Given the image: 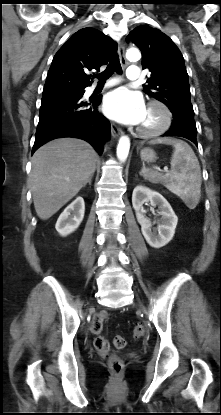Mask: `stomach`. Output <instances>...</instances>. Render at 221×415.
Wrapping results in <instances>:
<instances>
[{
	"label": "stomach",
	"instance_id": "1",
	"mask_svg": "<svg viewBox=\"0 0 221 415\" xmlns=\"http://www.w3.org/2000/svg\"><path fill=\"white\" fill-rule=\"evenodd\" d=\"M140 156L143 161L153 162L157 159L156 153L150 148H144L140 151Z\"/></svg>",
	"mask_w": 221,
	"mask_h": 415
}]
</instances>
